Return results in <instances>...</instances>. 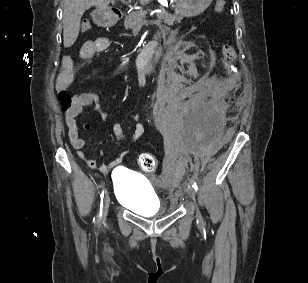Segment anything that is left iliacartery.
<instances>
[{"label": "left iliac artery", "instance_id": "44dca946", "mask_svg": "<svg viewBox=\"0 0 308 283\" xmlns=\"http://www.w3.org/2000/svg\"><path fill=\"white\" fill-rule=\"evenodd\" d=\"M191 182H192V187L197 191L198 186H197L196 182L194 180H192Z\"/></svg>", "mask_w": 308, "mask_h": 283}]
</instances>
